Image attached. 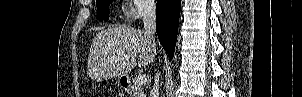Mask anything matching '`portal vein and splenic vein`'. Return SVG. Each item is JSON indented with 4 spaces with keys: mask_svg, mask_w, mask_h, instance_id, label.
I'll return each mask as SVG.
<instances>
[{
    "mask_svg": "<svg viewBox=\"0 0 302 97\" xmlns=\"http://www.w3.org/2000/svg\"><path fill=\"white\" fill-rule=\"evenodd\" d=\"M146 83H147V77H146V75L139 74L138 78H137V84L140 85V86H142V85H144Z\"/></svg>",
    "mask_w": 302,
    "mask_h": 97,
    "instance_id": "obj_1",
    "label": "portal vein and splenic vein"
}]
</instances>
